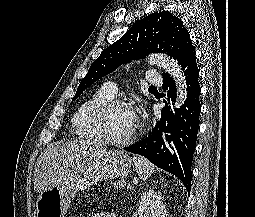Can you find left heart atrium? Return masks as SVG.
<instances>
[{"label":"left heart atrium","mask_w":255,"mask_h":217,"mask_svg":"<svg viewBox=\"0 0 255 217\" xmlns=\"http://www.w3.org/2000/svg\"><path fill=\"white\" fill-rule=\"evenodd\" d=\"M132 117L134 121L137 123L138 122V113L136 110H132Z\"/></svg>","instance_id":"obj_1"}]
</instances>
